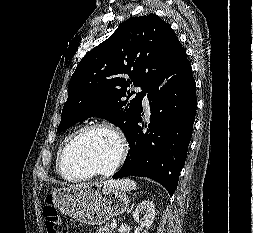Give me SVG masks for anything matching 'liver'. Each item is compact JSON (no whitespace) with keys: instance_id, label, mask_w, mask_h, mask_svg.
<instances>
[{"instance_id":"1","label":"liver","mask_w":253,"mask_h":233,"mask_svg":"<svg viewBox=\"0 0 253 233\" xmlns=\"http://www.w3.org/2000/svg\"><path fill=\"white\" fill-rule=\"evenodd\" d=\"M94 183H98V182H94ZM111 183H112V181H107V182H105L104 184L107 185V186H112ZM84 185H85V184H84Z\"/></svg>"}]
</instances>
